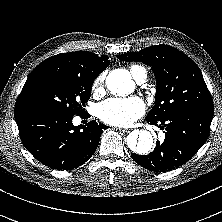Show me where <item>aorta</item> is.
Masks as SVG:
<instances>
[{
  "mask_svg": "<svg viewBox=\"0 0 222 222\" xmlns=\"http://www.w3.org/2000/svg\"><path fill=\"white\" fill-rule=\"evenodd\" d=\"M106 86L112 94L119 96L130 94L135 88L130 73L124 69L111 71L106 78ZM127 146L138 155L148 154L153 146L152 134L146 130L133 131L127 137Z\"/></svg>",
  "mask_w": 222,
  "mask_h": 222,
  "instance_id": "762f6f07",
  "label": "aorta"
}]
</instances>
